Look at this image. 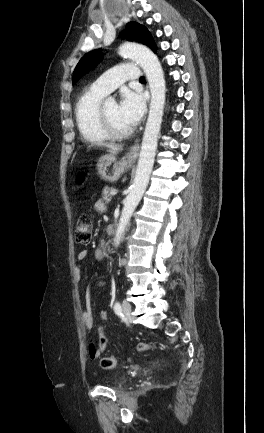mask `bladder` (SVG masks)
Returning <instances> with one entry per match:
<instances>
[{
  "instance_id": "obj_1",
  "label": "bladder",
  "mask_w": 264,
  "mask_h": 433,
  "mask_svg": "<svg viewBox=\"0 0 264 433\" xmlns=\"http://www.w3.org/2000/svg\"><path fill=\"white\" fill-rule=\"evenodd\" d=\"M122 383V381H119L117 384H121Z\"/></svg>"
}]
</instances>
